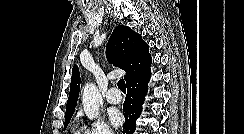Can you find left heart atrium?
Here are the masks:
<instances>
[{"label": "left heart atrium", "mask_w": 244, "mask_h": 134, "mask_svg": "<svg viewBox=\"0 0 244 134\" xmlns=\"http://www.w3.org/2000/svg\"><path fill=\"white\" fill-rule=\"evenodd\" d=\"M109 118H110L112 125H114L116 127L121 125V123L123 121V117H122L121 113L118 111H115V110H113L109 113Z\"/></svg>", "instance_id": "39dd6f15"}]
</instances>
